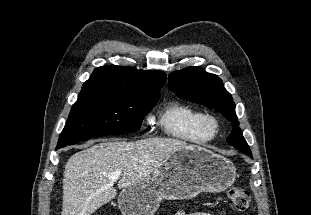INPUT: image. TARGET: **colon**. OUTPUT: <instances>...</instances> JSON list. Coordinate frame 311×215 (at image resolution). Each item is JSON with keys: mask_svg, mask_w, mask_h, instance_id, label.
I'll return each instance as SVG.
<instances>
[{"mask_svg": "<svg viewBox=\"0 0 311 215\" xmlns=\"http://www.w3.org/2000/svg\"><path fill=\"white\" fill-rule=\"evenodd\" d=\"M228 198L232 206L240 212H247L250 207V193L239 186L231 187L228 190Z\"/></svg>", "mask_w": 311, "mask_h": 215, "instance_id": "colon-1", "label": "colon"}]
</instances>
